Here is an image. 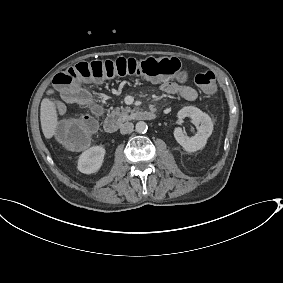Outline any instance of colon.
<instances>
[{"label": "colon", "mask_w": 283, "mask_h": 283, "mask_svg": "<svg viewBox=\"0 0 283 283\" xmlns=\"http://www.w3.org/2000/svg\"><path fill=\"white\" fill-rule=\"evenodd\" d=\"M181 68L177 58L145 59L118 58L115 60L80 62L58 73L54 85L70 103L88 108L91 116H79L62 121L56 129L60 143L71 149L86 147L94 134L101 108L92 98L91 93L82 86L84 81H100L114 77L140 76L149 79H169ZM195 84L207 95L217 90L213 72L199 73L194 78Z\"/></svg>", "instance_id": "5ec220e1"}]
</instances>
